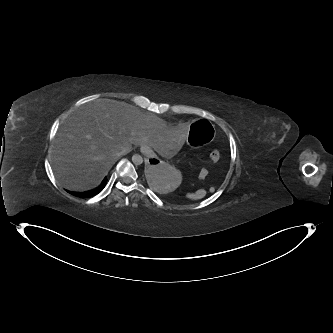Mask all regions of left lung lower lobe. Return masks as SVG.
Returning a JSON list of instances; mask_svg holds the SVG:
<instances>
[{
  "mask_svg": "<svg viewBox=\"0 0 333 333\" xmlns=\"http://www.w3.org/2000/svg\"><path fill=\"white\" fill-rule=\"evenodd\" d=\"M145 173H146L147 176L153 178L155 176L156 171H155L153 166H148L145 170Z\"/></svg>",
  "mask_w": 333,
  "mask_h": 333,
  "instance_id": "obj_1",
  "label": "left lung lower lobe"
}]
</instances>
